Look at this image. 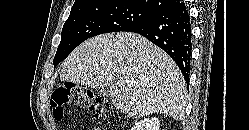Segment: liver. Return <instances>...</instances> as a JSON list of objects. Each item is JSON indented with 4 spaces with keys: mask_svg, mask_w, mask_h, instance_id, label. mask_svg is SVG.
Here are the masks:
<instances>
[{
    "mask_svg": "<svg viewBox=\"0 0 249 130\" xmlns=\"http://www.w3.org/2000/svg\"><path fill=\"white\" fill-rule=\"evenodd\" d=\"M60 80L96 89L108 86L114 106L135 118L163 113L181 120L187 102L176 63L143 36L129 32L83 42L65 60Z\"/></svg>",
    "mask_w": 249,
    "mask_h": 130,
    "instance_id": "obj_1",
    "label": "liver"
}]
</instances>
